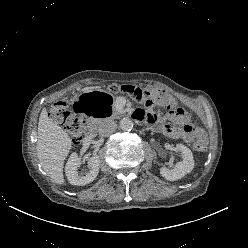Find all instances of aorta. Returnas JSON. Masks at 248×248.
Masks as SVG:
<instances>
[{"mask_svg":"<svg viewBox=\"0 0 248 248\" xmlns=\"http://www.w3.org/2000/svg\"><path fill=\"white\" fill-rule=\"evenodd\" d=\"M119 127L123 131H131L133 129V121L130 118H123L119 123Z\"/></svg>","mask_w":248,"mask_h":248,"instance_id":"obj_1","label":"aorta"}]
</instances>
